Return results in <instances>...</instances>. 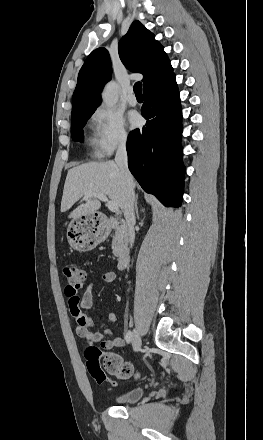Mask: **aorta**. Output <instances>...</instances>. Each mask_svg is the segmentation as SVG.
Returning <instances> with one entry per match:
<instances>
[{
    "instance_id": "1",
    "label": "aorta",
    "mask_w": 263,
    "mask_h": 440,
    "mask_svg": "<svg viewBox=\"0 0 263 440\" xmlns=\"http://www.w3.org/2000/svg\"><path fill=\"white\" fill-rule=\"evenodd\" d=\"M103 103L108 106H114L118 101V85L114 81H110L106 84L102 92Z\"/></svg>"
}]
</instances>
